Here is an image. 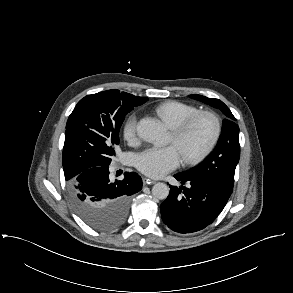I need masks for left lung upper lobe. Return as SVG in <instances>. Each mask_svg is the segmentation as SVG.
<instances>
[{"label":"left lung upper lobe","instance_id":"left-lung-upper-lobe-1","mask_svg":"<svg viewBox=\"0 0 293 293\" xmlns=\"http://www.w3.org/2000/svg\"><path fill=\"white\" fill-rule=\"evenodd\" d=\"M189 97L220 109L226 119L223 120L222 132L214 151L198 166L182 173L212 179L233 188L234 173L240 158L239 127L235 124L236 118L219 99L201 95Z\"/></svg>","mask_w":293,"mask_h":293}]
</instances>
